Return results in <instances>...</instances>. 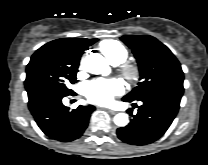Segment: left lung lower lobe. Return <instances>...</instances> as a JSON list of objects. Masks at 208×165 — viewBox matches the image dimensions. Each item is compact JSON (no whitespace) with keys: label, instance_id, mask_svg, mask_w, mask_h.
Instances as JSON below:
<instances>
[{"label":"left lung lower lobe","instance_id":"obj_1","mask_svg":"<svg viewBox=\"0 0 208 165\" xmlns=\"http://www.w3.org/2000/svg\"><path fill=\"white\" fill-rule=\"evenodd\" d=\"M183 90L179 87L160 88L137 100L142 105L136 115L129 110L133 119L127 126L117 129L118 138L132 145H147L158 140L173 122Z\"/></svg>","mask_w":208,"mask_h":165}]
</instances>
